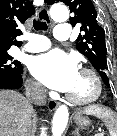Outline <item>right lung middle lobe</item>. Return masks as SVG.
Returning a JSON list of instances; mask_svg holds the SVG:
<instances>
[{
  "mask_svg": "<svg viewBox=\"0 0 117 136\" xmlns=\"http://www.w3.org/2000/svg\"><path fill=\"white\" fill-rule=\"evenodd\" d=\"M22 70L19 61L13 60L8 53L0 54V73H18Z\"/></svg>",
  "mask_w": 117,
  "mask_h": 136,
  "instance_id": "obj_1",
  "label": "right lung middle lobe"
}]
</instances>
